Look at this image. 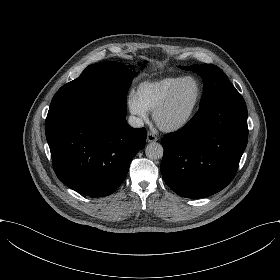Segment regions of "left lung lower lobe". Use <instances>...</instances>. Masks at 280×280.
Here are the masks:
<instances>
[{"label":"left lung lower lobe","instance_id":"0a47b994","mask_svg":"<svg viewBox=\"0 0 280 280\" xmlns=\"http://www.w3.org/2000/svg\"><path fill=\"white\" fill-rule=\"evenodd\" d=\"M248 140L241 94L207 105L179 131L163 136L161 173L178 195L203 198L225 188L238 169Z\"/></svg>","mask_w":280,"mask_h":280}]
</instances>
